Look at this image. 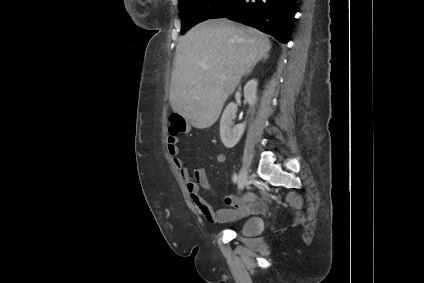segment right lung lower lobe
<instances>
[{
	"label": "right lung lower lobe",
	"mask_w": 424,
	"mask_h": 283,
	"mask_svg": "<svg viewBox=\"0 0 424 283\" xmlns=\"http://www.w3.org/2000/svg\"><path fill=\"white\" fill-rule=\"evenodd\" d=\"M297 0H230L210 19L228 18L287 43Z\"/></svg>",
	"instance_id": "right-lung-lower-lobe-1"
}]
</instances>
